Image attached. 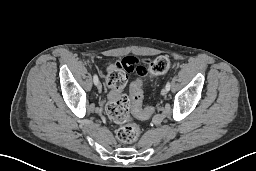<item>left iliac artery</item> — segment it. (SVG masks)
<instances>
[{
  "label": "left iliac artery",
  "instance_id": "obj_1",
  "mask_svg": "<svg viewBox=\"0 0 256 171\" xmlns=\"http://www.w3.org/2000/svg\"><path fill=\"white\" fill-rule=\"evenodd\" d=\"M170 86H171L170 81H168L167 84H166V88H167L168 91L170 90Z\"/></svg>",
  "mask_w": 256,
  "mask_h": 171
}]
</instances>
